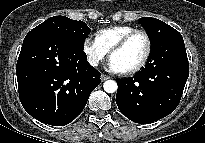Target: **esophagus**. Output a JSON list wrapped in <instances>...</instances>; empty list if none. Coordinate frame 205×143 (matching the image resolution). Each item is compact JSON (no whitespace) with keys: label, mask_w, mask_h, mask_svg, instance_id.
I'll list each match as a JSON object with an SVG mask.
<instances>
[{"label":"esophagus","mask_w":205,"mask_h":143,"mask_svg":"<svg viewBox=\"0 0 205 143\" xmlns=\"http://www.w3.org/2000/svg\"><path fill=\"white\" fill-rule=\"evenodd\" d=\"M110 77L109 76H107V75H105V74H102L101 75V80L102 81H105V80H107V79H109Z\"/></svg>","instance_id":"34e87169"}]
</instances>
